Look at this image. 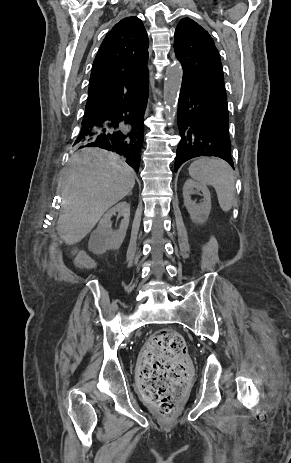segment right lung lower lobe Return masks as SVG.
I'll return each mask as SVG.
<instances>
[{
	"label": "right lung lower lobe",
	"mask_w": 291,
	"mask_h": 463,
	"mask_svg": "<svg viewBox=\"0 0 291 463\" xmlns=\"http://www.w3.org/2000/svg\"><path fill=\"white\" fill-rule=\"evenodd\" d=\"M148 91L149 84L127 98L121 106L91 120L83 118L75 143L79 148L93 146L116 152L138 172Z\"/></svg>",
	"instance_id": "obj_1"
}]
</instances>
